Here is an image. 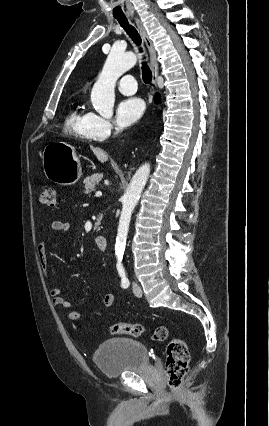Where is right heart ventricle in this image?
<instances>
[{"label":"right heart ventricle","instance_id":"right-heart-ventricle-1","mask_svg":"<svg viewBox=\"0 0 269 426\" xmlns=\"http://www.w3.org/2000/svg\"><path fill=\"white\" fill-rule=\"evenodd\" d=\"M91 116V112L79 106L69 114L66 120V126L83 137L92 138L89 134Z\"/></svg>","mask_w":269,"mask_h":426}]
</instances>
